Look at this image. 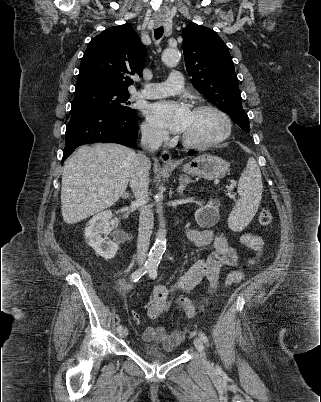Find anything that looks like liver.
<instances>
[{
    "mask_svg": "<svg viewBox=\"0 0 321 402\" xmlns=\"http://www.w3.org/2000/svg\"><path fill=\"white\" fill-rule=\"evenodd\" d=\"M136 153L123 145L81 146L64 164L61 211L75 224L112 206L125 192Z\"/></svg>",
    "mask_w": 321,
    "mask_h": 402,
    "instance_id": "6515ba94",
    "label": "liver"
}]
</instances>
